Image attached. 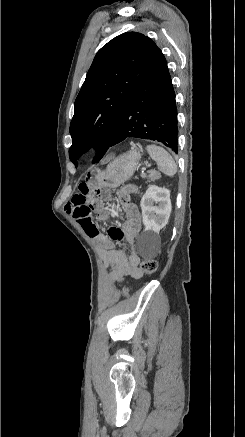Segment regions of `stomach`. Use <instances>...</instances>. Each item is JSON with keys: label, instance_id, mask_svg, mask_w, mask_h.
Listing matches in <instances>:
<instances>
[{"label": "stomach", "instance_id": "1", "mask_svg": "<svg viewBox=\"0 0 245 437\" xmlns=\"http://www.w3.org/2000/svg\"><path fill=\"white\" fill-rule=\"evenodd\" d=\"M140 158V152L130 150L113 160L105 172L91 173L88 183H90L92 188H116L133 175Z\"/></svg>", "mask_w": 245, "mask_h": 437}]
</instances>
